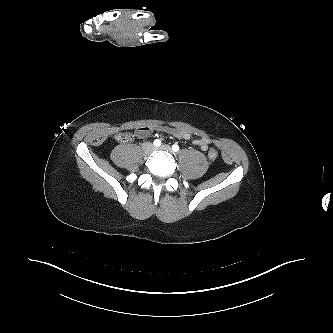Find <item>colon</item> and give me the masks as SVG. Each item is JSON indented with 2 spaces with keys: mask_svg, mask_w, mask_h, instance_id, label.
I'll list each match as a JSON object with an SVG mask.
<instances>
[{
  "mask_svg": "<svg viewBox=\"0 0 333 333\" xmlns=\"http://www.w3.org/2000/svg\"><path fill=\"white\" fill-rule=\"evenodd\" d=\"M115 138L118 142L125 143L132 139V135L128 132H119L116 134ZM207 155L209 160L214 161L218 157V151L215 148H210Z\"/></svg>",
  "mask_w": 333,
  "mask_h": 333,
  "instance_id": "colon-1",
  "label": "colon"
}]
</instances>
